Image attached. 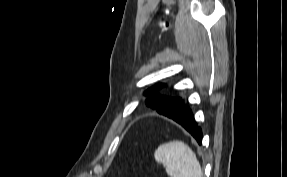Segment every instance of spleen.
Wrapping results in <instances>:
<instances>
[{"label":"spleen","instance_id":"3e777b00","mask_svg":"<svg viewBox=\"0 0 287 177\" xmlns=\"http://www.w3.org/2000/svg\"><path fill=\"white\" fill-rule=\"evenodd\" d=\"M154 158L164 165L170 177H203L195 153L182 141L160 145L154 153Z\"/></svg>","mask_w":287,"mask_h":177}]
</instances>
